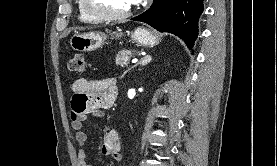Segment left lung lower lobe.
Returning a JSON list of instances; mask_svg holds the SVG:
<instances>
[{"label":"left lung lower lobe","mask_w":277,"mask_h":166,"mask_svg":"<svg viewBox=\"0 0 277 166\" xmlns=\"http://www.w3.org/2000/svg\"><path fill=\"white\" fill-rule=\"evenodd\" d=\"M203 0H154L144 13L132 18L160 32H169L185 41L191 49L198 35V20Z\"/></svg>","instance_id":"obj_1"}]
</instances>
